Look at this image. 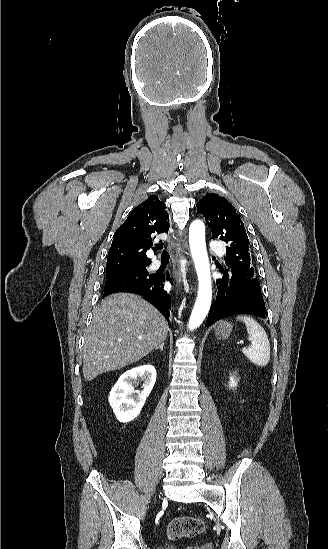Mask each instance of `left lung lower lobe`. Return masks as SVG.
I'll return each mask as SVG.
<instances>
[{"instance_id":"left-lung-lower-lobe-1","label":"left lung lower lobe","mask_w":328,"mask_h":549,"mask_svg":"<svg viewBox=\"0 0 328 549\" xmlns=\"http://www.w3.org/2000/svg\"><path fill=\"white\" fill-rule=\"evenodd\" d=\"M222 279L217 281L216 301L211 305L205 326L235 314H250L265 318L267 311L258 280L234 270L220 268Z\"/></svg>"}]
</instances>
